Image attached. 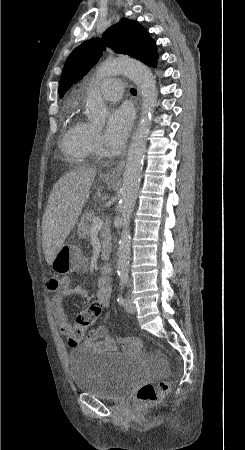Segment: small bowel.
I'll list each match as a JSON object with an SVG mask.
<instances>
[{"label": "small bowel", "instance_id": "1", "mask_svg": "<svg viewBox=\"0 0 245 450\" xmlns=\"http://www.w3.org/2000/svg\"><path fill=\"white\" fill-rule=\"evenodd\" d=\"M112 292L111 279L109 276H102L98 285L97 302L101 308H107L110 303ZM67 296H77L86 299L89 292L83 285L72 286L70 281L64 287L51 295V310L53 317L59 326L60 330L65 334H69L73 328L68 321L67 314L63 307V299ZM114 346L113 339L108 335L105 328H98L90 332L85 339L76 346H69L70 349L76 350L78 348H100L110 349Z\"/></svg>", "mask_w": 245, "mask_h": 450}]
</instances>
